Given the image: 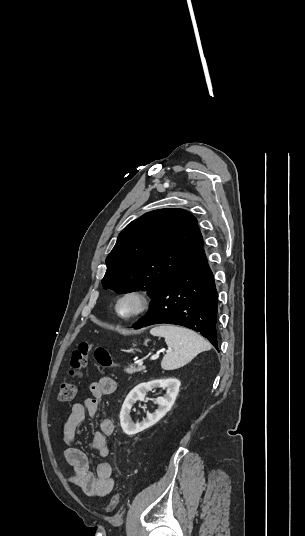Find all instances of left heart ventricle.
I'll list each match as a JSON object with an SVG mask.
<instances>
[{"instance_id": "obj_1", "label": "left heart ventricle", "mask_w": 305, "mask_h": 536, "mask_svg": "<svg viewBox=\"0 0 305 536\" xmlns=\"http://www.w3.org/2000/svg\"><path fill=\"white\" fill-rule=\"evenodd\" d=\"M140 307V300L136 296H127L119 301L118 309L123 316H129Z\"/></svg>"}]
</instances>
